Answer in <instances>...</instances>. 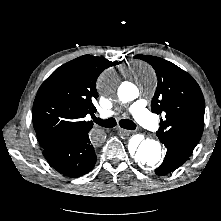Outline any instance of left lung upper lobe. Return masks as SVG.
I'll list each match as a JSON object with an SVG mask.
<instances>
[{
	"instance_id": "obj_1",
	"label": "left lung upper lobe",
	"mask_w": 221,
	"mask_h": 221,
	"mask_svg": "<svg viewBox=\"0 0 221 221\" xmlns=\"http://www.w3.org/2000/svg\"><path fill=\"white\" fill-rule=\"evenodd\" d=\"M154 68L158 85L152 99V112L164 113L156 135L195 148L204 128L205 103L202 91L186 71L155 56L136 55Z\"/></svg>"
}]
</instances>
